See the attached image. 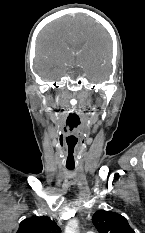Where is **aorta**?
I'll list each match as a JSON object with an SVG mask.
<instances>
[{
  "label": "aorta",
  "mask_w": 145,
  "mask_h": 233,
  "mask_svg": "<svg viewBox=\"0 0 145 233\" xmlns=\"http://www.w3.org/2000/svg\"><path fill=\"white\" fill-rule=\"evenodd\" d=\"M65 233H78V221L71 220L68 222Z\"/></svg>",
  "instance_id": "1"
}]
</instances>
